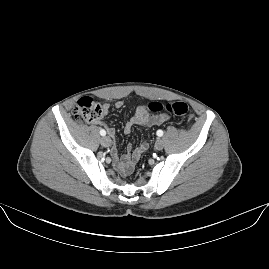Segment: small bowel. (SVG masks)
Masks as SVG:
<instances>
[{
	"mask_svg": "<svg viewBox=\"0 0 269 269\" xmlns=\"http://www.w3.org/2000/svg\"><path fill=\"white\" fill-rule=\"evenodd\" d=\"M115 106L117 108L121 107V102L115 103ZM109 108H110L109 104H104L103 106L104 114L108 112ZM168 120L169 116L166 114L150 115L148 112L139 109V112L136 115L132 116L126 122L124 126V132L126 134H129L132 129V126L135 124L139 126L160 125ZM95 124L104 126L109 137L115 136L114 128L107 126L101 121H96ZM130 149L131 146L128 147V152L125 155H123L120 160L117 158V156H115V164L121 171L124 170V166L126 163H133V161L138 160L142 156V154H144L147 151L148 147L145 145V143L141 144L138 148L134 150L132 156H130L129 153Z\"/></svg>",
	"mask_w": 269,
	"mask_h": 269,
	"instance_id": "c3829d8e",
	"label": "small bowel"
}]
</instances>
